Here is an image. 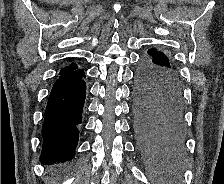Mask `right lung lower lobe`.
Returning a JSON list of instances; mask_svg holds the SVG:
<instances>
[{"mask_svg": "<svg viewBox=\"0 0 224 184\" xmlns=\"http://www.w3.org/2000/svg\"><path fill=\"white\" fill-rule=\"evenodd\" d=\"M84 78L77 66L62 69L52 87L42 127L40 161L44 164L63 163L75 155L86 97Z\"/></svg>", "mask_w": 224, "mask_h": 184, "instance_id": "obj_1", "label": "right lung lower lobe"}]
</instances>
